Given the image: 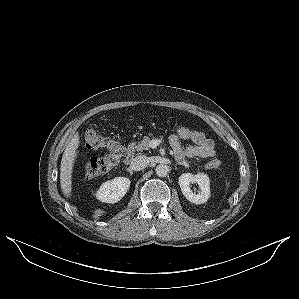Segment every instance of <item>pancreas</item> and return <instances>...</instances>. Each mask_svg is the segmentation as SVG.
<instances>
[{"mask_svg": "<svg viewBox=\"0 0 299 299\" xmlns=\"http://www.w3.org/2000/svg\"><path fill=\"white\" fill-rule=\"evenodd\" d=\"M150 138L148 136H144V138L135 144V150L138 152H142L143 150L150 149Z\"/></svg>", "mask_w": 299, "mask_h": 299, "instance_id": "cf45deb5", "label": "pancreas"}]
</instances>
